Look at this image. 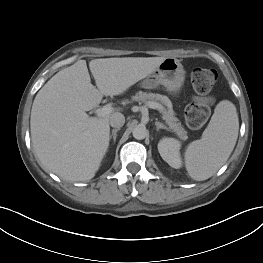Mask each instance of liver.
Returning <instances> with one entry per match:
<instances>
[{
  "instance_id": "1",
  "label": "liver",
  "mask_w": 263,
  "mask_h": 263,
  "mask_svg": "<svg viewBox=\"0 0 263 263\" xmlns=\"http://www.w3.org/2000/svg\"><path fill=\"white\" fill-rule=\"evenodd\" d=\"M165 57L85 60L56 73L37 93L30 127L34 151L45 170L71 182L95 176L109 146V118L89 117L103 96L123 94L152 74Z\"/></svg>"
}]
</instances>
